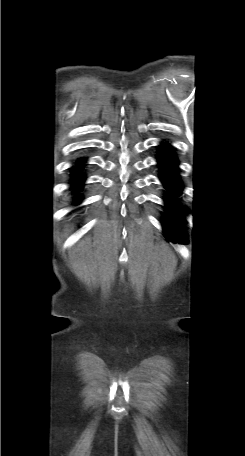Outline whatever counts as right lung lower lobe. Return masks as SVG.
Returning a JSON list of instances; mask_svg holds the SVG:
<instances>
[{"label": "right lung lower lobe", "mask_w": 245, "mask_h": 456, "mask_svg": "<svg viewBox=\"0 0 245 456\" xmlns=\"http://www.w3.org/2000/svg\"><path fill=\"white\" fill-rule=\"evenodd\" d=\"M84 161H85L84 158L78 159V161L76 162V165L73 167V171H72L71 186H72V189L74 190L73 192L75 194L74 204L80 203L79 193L77 192V190H80V188L82 187L83 182L85 180L84 175L80 171L81 168L84 166Z\"/></svg>", "instance_id": "1"}]
</instances>
